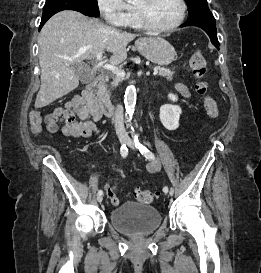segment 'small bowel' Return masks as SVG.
Wrapping results in <instances>:
<instances>
[{
	"label": "small bowel",
	"instance_id": "1",
	"mask_svg": "<svg viewBox=\"0 0 261 273\" xmlns=\"http://www.w3.org/2000/svg\"><path fill=\"white\" fill-rule=\"evenodd\" d=\"M176 90L184 98L189 99L191 93L188 87L183 83L175 85ZM76 114L80 121H76ZM101 118V113L95 108L88 105L82 96H75L70 101L64 104V107H58L45 117L46 129L49 133H56L61 128L63 135L68 137H83L90 138L99 133L95 122ZM150 172H155L159 169L158 164H152L148 167ZM106 193L113 206L117 207L120 204L117 196L116 186H105Z\"/></svg>",
	"mask_w": 261,
	"mask_h": 273
}]
</instances>
